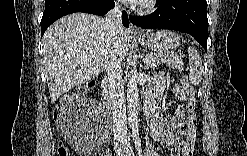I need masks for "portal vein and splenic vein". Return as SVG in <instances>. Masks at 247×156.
<instances>
[{"instance_id": "18ae733b", "label": "portal vein and splenic vein", "mask_w": 247, "mask_h": 156, "mask_svg": "<svg viewBox=\"0 0 247 156\" xmlns=\"http://www.w3.org/2000/svg\"><path fill=\"white\" fill-rule=\"evenodd\" d=\"M144 62L147 63L148 62V59L147 58H144Z\"/></svg>"}]
</instances>
